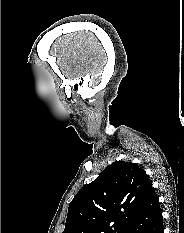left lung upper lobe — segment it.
Listing matches in <instances>:
<instances>
[{"instance_id":"left-lung-upper-lobe-1","label":"left lung upper lobe","mask_w":184,"mask_h":233,"mask_svg":"<svg viewBox=\"0 0 184 233\" xmlns=\"http://www.w3.org/2000/svg\"><path fill=\"white\" fill-rule=\"evenodd\" d=\"M153 190L138 165L115 161L70 202L63 233H129Z\"/></svg>"}]
</instances>
